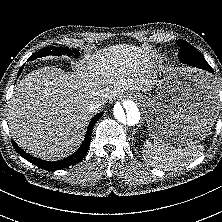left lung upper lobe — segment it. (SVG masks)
Instances as JSON below:
<instances>
[{
    "label": "left lung upper lobe",
    "mask_w": 222,
    "mask_h": 222,
    "mask_svg": "<svg viewBox=\"0 0 222 222\" xmlns=\"http://www.w3.org/2000/svg\"><path fill=\"white\" fill-rule=\"evenodd\" d=\"M177 44L180 47L179 59L181 62H185L186 59H189L196 63H199L202 69H205V70L211 69L209 64L202 57V55L198 52V50L195 49L193 46H191L189 43H187L183 39H180L179 41H177Z\"/></svg>",
    "instance_id": "obj_1"
}]
</instances>
